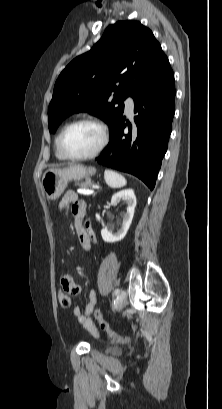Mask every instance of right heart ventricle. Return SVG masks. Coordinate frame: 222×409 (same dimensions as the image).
<instances>
[{"label": "right heart ventricle", "instance_id": "obj_1", "mask_svg": "<svg viewBox=\"0 0 222 409\" xmlns=\"http://www.w3.org/2000/svg\"><path fill=\"white\" fill-rule=\"evenodd\" d=\"M67 125H68V123H65V124L60 128V130H59V132H58V135H57V137H56V140H55V154H56V157H57L59 160H65V157L62 155V153L60 152V149H59V139H60V136H61L62 131L64 130V128H65Z\"/></svg>", "mask_w": 222, "mask_h": 409}]
</instances>
